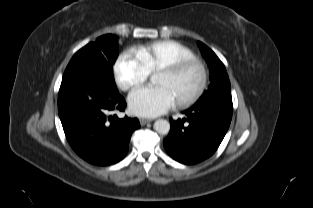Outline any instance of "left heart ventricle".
<instances>
[{"mask_svg":"<svg viewBox=\"0 0 313 208\" xmlns=\"http://www.w3.org/2000/svg\"><path fill=\"white\" fill-rule=\"evenodd\" d=\"M199 71L192 67L177 76H170L164 73H157L155 84L166 87L173 95L175 101L191 94L199 82Z\"/></svg>","mask_w":313,"mask_h":208,"instance_id":"obj_1","label":"left heart ventricle"}]
</instances>
